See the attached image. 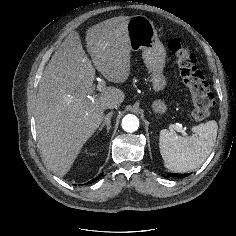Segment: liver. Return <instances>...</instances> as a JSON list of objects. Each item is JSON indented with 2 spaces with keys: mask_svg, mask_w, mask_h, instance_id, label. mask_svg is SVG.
I'll return each mask as SVG.
<instances>
[{
  "mask_svg": "<svg viewBox=\"0 0 236 236\" xmlns=\"http://www.w3.org/2000/svg\"><path fill=\"white\" fill-rule=\"evenodd\" d=\"M129 19L110 18L86 31L92 61L83 50L79 34L70 33L43 72L35 106L37 137L43 157L59 177L69 172L83 145L103 121L106 104L119 105L125 98L124 92L115 87H107L97 96L93 83L95 68L114 83L129 78Z\"/></svg>",
  "mask_w": 236,
  "mask_h": 236,
  "instance_id": "liver-1",
  "label": "liver"
}]
</instances>
